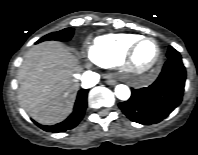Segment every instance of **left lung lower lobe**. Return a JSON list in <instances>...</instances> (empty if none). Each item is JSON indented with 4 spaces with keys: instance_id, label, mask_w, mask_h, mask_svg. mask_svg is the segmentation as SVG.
<instances>
[{
    "instance_id": "1",
    "label": "left lung lower lobe",
    "mask_w": 198,
    "mask_h": 155,
    "mask_svg": "<svg viewBox=\"0 0 198 155\" xmlns=\"http://www.w3.org/2000/svg\"><path fill=\"white\" fill-rule=\"evenodd\" d=\"M185 79L182 60H167L152 85L133 89L130 99L121 102L119 107L133 122L144 125L158 123L181 103Z\"/></svg>"
}]
</instances>
